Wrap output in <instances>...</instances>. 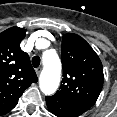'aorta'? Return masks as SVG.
<instances>
[{
  "instance_id": "762f6f07",
  "label": "aorta",
  "mask_w": 117,
  "mask_h": 117,
  "mask_svg": "<svg viewBox=\"0 0 117 117\" xmlns=\"http://www.w3.org/2000/svg\"><path fill=\"white\" fill-rule=\"evenodd\" d=\"M43 70L39 79L40 90L45 95L56 92L61 77V62L55 50H47L43 53Z\"/></svg>"
}]
</instances>
